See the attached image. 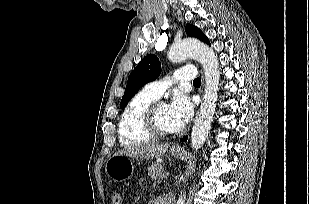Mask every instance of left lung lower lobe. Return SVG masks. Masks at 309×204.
Segmentation results:
<instances>
[{"label":"left lung lower lobe","instance_id":"1","mask_svg":"<svg viewBox=\"0 0 309 204\" xmlns=\"http://www.w3.org/2000/svg\"><path fill=\"white\" fill-rule=\"evenodd\" d=\"M186 140H187V136L183 137L181 141L184 142Z\"/></svg>","mask_w":309,"mask_h":204}]
</instances>
